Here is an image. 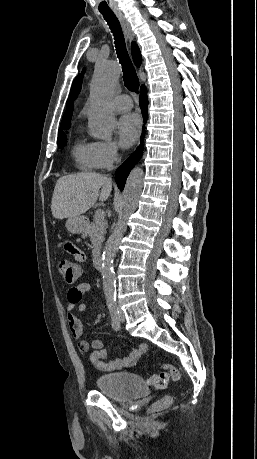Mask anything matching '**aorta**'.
<instances>
[{
	"label": "aorta",
	"instance_id": "aorta-1",
	"mask_svg": "<svg viewBox=\"0 0 257 459\" xmlns=\"http://www.w3.org/2000/svg\"><path fill=\"white\" fill-rule=\"evenodd\" d=\"M119 76L120 68L117 63L103 61L97 64L91 81V107L88 112V126L93 137L105 141L111 140L115 128V118L108 109L107 103L115 92ZM143 182V170L139 167L134 168L126 180L118 221L114 225L103 251V290L108 299H113L116 295L113 261L126 231L128 218L138 206Z\"/></svg>",
	"mask_w": 257,
	"mask_h": 459
}]
</instances>
